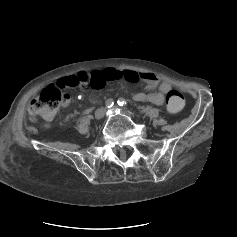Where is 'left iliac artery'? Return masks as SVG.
<instances>
[{"instance_id":"44dca946","label":"left iliac artery","mask_w":237,"mask_h":237,"mask_svg":"<svg viewBox=\"0 0 237 237\" xmlns=\"http://www.w3.org/2000/svg\"><path fill=\"white\" fill-rule=\"evenodd\" d=\"M117 103L119 106H123L126 104V102L123 98L118 99ZM150 109H151V107H146V108H143L140 112L145 113V112H148Z\"/></svg>"}]
</instances>
